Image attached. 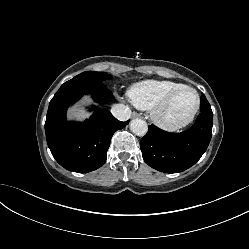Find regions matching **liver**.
<instances>
[{
    "label": "liver",
    "instance_id": "6515ba94",
    "mask_svg": "<svg viewBox=\"0 0 249 249\" xmlns=\"http://www.w3.org/2000/svg\"><path fill=\"white\" fill-rule=\"evenodd\" d=\"M72 116L74 118H77L78 120H83L89 117V114H85V112L81 110L80 108H74L72 111Z\"/></svg>",
    "mask_w": 249,
    "mask_h": 249
}]
</instances>
